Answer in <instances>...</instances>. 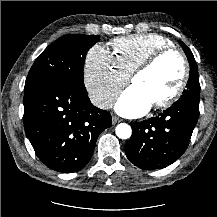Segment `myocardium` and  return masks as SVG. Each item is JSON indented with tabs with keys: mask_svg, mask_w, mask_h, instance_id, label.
Instances as JSON below:
<instances>
[{
	"mask_svg": "<svg viewBox=\"0 0 217 217\" xmlns=\"http://www.w3.org/2000/svg\"><path fill=\"white\" fill-rule=\"evenodd\" d=\"M168 55H176L180 59V62L182 65V74H181L179 84L177 88L174 90V92H172L166 98L153 104V107L156 109H161V108H165V107L172 105L175 101H177L183 95L187 87L189 75H190L189 62L185 54L180 49L175 48V47H166V48L160 49L156 51L155 53H153L147 60H145L139 66H137L130 74L129 81L130 83H133L134 79L138 75L150 70L161 59H163L164 57Z\"/></svg>",
	"mask_w": 217,
	"mask_h": 217,
	"instance_id": "1",
	"label": "myocardium"
}]
</instances>
